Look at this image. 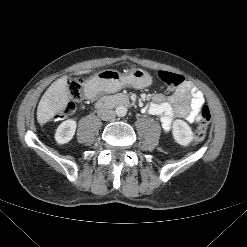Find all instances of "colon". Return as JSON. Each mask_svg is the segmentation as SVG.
<instances>
[{"label":"colon","mask_w":247,"mask_h":247,"mask_svg":"<svg viewBox=\"0 0 247 247\" xmlns=\"http://www.w3.org/2000/svg\"><path fill=\"white\" fill-rule=\"evenodd\" d=\"M160 80L168 87L174 88L184 82V77L169 71H160L158 73ZM82 81L80 79H72L68 82V92L70 101L65 105L63 110L56 116L58 120L65 118L72 114L75 110L76 104L81 100L82 97ZM211 121L210 110L207 106H204L202 110V116L200 123L194 133V141H202L206 134Z\"/></svg>","instance_id":"colon-1"}]
</instances>
